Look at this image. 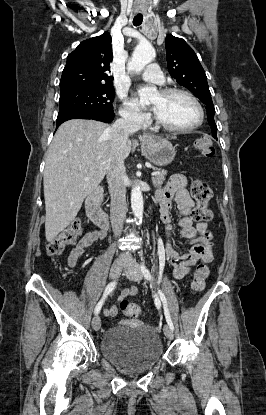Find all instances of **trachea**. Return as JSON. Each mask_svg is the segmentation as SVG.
Listing matches in <instances>:
<instances>
[{"mask_svg": "<svg viewBox=\"0 0 266 415\" xmlns=\"http://www.w3.org/2000/svg\"><path fill=\"white\" fill-rule=\"evenodd\" d=\"M142 21H143V16L142 15H137L133 19V24L135 26H139V25H141Z\"/></svg>", "mask_w": 266, "mask_h": 415, "instance_id": "trachea-1", "label": "trachea"}]
</instances>
